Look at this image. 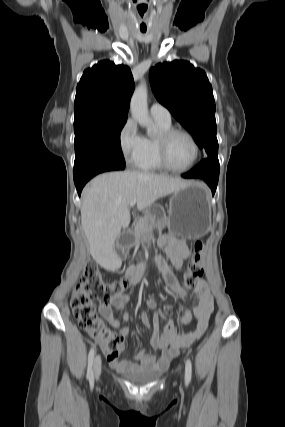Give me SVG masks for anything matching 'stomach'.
Listing matches in <instances>:
<instances>
[{
    "label": "stomach",
    "mask_w": 285,
    "mask_h": 427,
    "mask_svg": "<svg viewBox=\"0 0 285 427\" xmlns=\"http://www.w3.org/2000/svg\"><path fill=\"white\" fill-rule=\"evenodd\" d=\"M147 213L155 219V226L166 225L175 236L197 239L211 228V196L204 183L191 181L173 193L167 216L160 206L151 207ZM146 235L149 241L150 232Z\"/></svg>",
    "instance_id": "obj_1"
}]
</instances>
